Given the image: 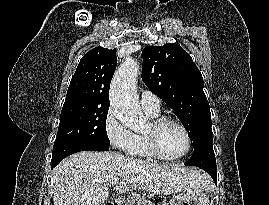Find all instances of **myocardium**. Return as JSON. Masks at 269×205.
<instances>
[{
    "instance_id": "myocardium-1",
    "label": "myocardium",
    "mask_w": 269,
    "mask_h": 205,
    "mask_svg": "<svg viewBox=\"0 0 269 205\" xmlns=\"http://www.w3.org/2000/svg\"><path fill=\"white\" fill-rule=\"evenodd\" d=\"M174 124L176 126H178L184 133L185 137H186V141H187V147L186 150L178 155V156H167L165 155L159 147L158 144V134L160 129L168 124ZM143 137H144V141H145V145L148 149V151L150 152V154L158 159L161 160H166V161H177L180 160L184 157H186L191 149H192V138H191V134L188 130V128L178 119L172 117V116H158L156 118H154L151 123L149 124V129L147 131L143 132Z\"/></svg>"
}]
</instances>
